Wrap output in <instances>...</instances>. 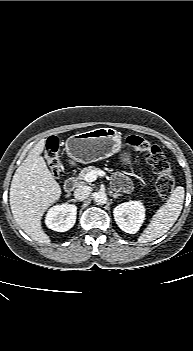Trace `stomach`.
I'll use <instances>...</instances> for the list:
<instances>
[{
  "label": "stomach",
  "mask_w": 193,
  "mask_h": 351,
  "mask_svg": "<svg viewBox=\"0 0 193 351\" xmlns=\"http://www.w3.org/2000/svg\"><path fill=\"white\" fill-rule=\"evenodd\" d=\"M121 135L113 128H97L77 133L66 141L68 157L74 161L88 164L102 160L121 151ZM121 164L131 165L132 157L124 152L119 158Z\"/></svg>",
  "instance_id": "0dacf381"
}]
</instances>
